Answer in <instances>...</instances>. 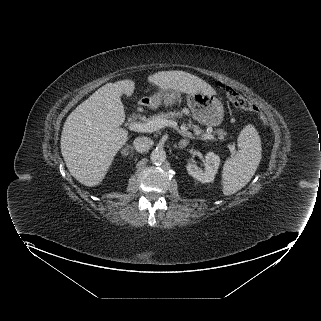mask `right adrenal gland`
<instances>
[{
	"instance_id": "right-adrenal-gland-1",
	"label": "right adrenal gland",
	"mask_w": 321,
	"mask_h": 321,
	"mask_svg": "<svg viewBox=\"0 0 321 321\" xmlns=\"http://www.w3.org/2000/svg\"><path fill=\"white\" fill-rule=\"evenodd\" d=\"M129 152H131L132 155H133V148H132L131 146H127L126 148L122 149V153H123L124 155H128Z\"/></svg>"
}]
</instances>
